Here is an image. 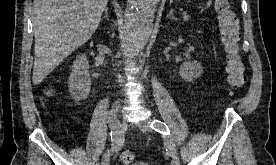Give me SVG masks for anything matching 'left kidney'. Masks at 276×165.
<instances>
[{
    "instance_id": "obj_1",
    "label": "left kidney",
    "mask_w": 276,
    "mask_h": 165,
    "mask_svg": "<svg viewBox=\"0 0 276 165\" xmlns=\"http://www.w3.org/2000/svg\"><path fill=\"white\" fill-rule=\"evenodd\" d=\"M203 71L202 65L198 61H187L184 62L179 69L180 76L188 82L198 78Z\"/></svg>"
}]
</instances>
